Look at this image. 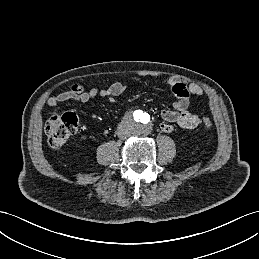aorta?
I'll list each match as a JSON object with an SVG mask.
<instances>
[{
    "label": "aorta",
    "mask_w": 259,
    "mask_h": 259,
    "mask_svg": "<svg viewBox=\"0 0 259 259\" xmlns=\"http://www.w3.org/2000/svg\"><path fill=\"white\" fill-rule=\"evenodd\" d=\"M131 133L135 136H145L151 132V115L145 110H139L138 113L130 117Z\"/></svg>",
    "instance_id": "762f6f07"
}]
</instances>
